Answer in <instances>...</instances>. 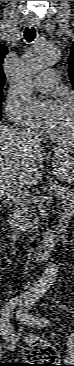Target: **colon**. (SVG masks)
<instances>
[{"label":"colon","instance_id":"colon-1","mask_svg":"<svg viewBox=\"0 0 74 366\" xmlns=\"http://www.w3.org/2000/svg\"><path fill=\"white\" fill-rule=\"evenodd\" d=\"M24 357L27 360L40 359L43 361L54 362L56 358V352L44 341H33L28 343L24 348ZM40 366H52V363L38 364Z\"/></svg>","mask_w":74,"mask_h":366}]
</instances>
